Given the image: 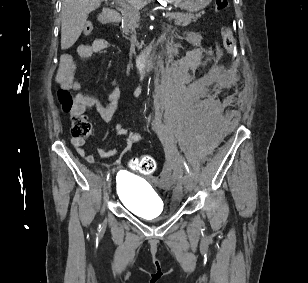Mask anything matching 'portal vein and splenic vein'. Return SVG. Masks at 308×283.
Segmentation results:
<instances>
[{
	"label": "portal vein and splenic vein",
	"instance_id": "obj_1",
	"mask_svg": "<svg viewBox=\"0 0 308 283\" xmlns=\"http://www.w3.org/2000/svg\"><path fill=\"white\" fill-rule=\"evenodd\" d=\"M128 2V3H127ZM124 11H136L138 8L136 5L129 3V0H117L116 2ZM166 17H174L176 13L166 12Z\"/></svg>",
	"mask_w": 308,
	"mask_h": 283
}]
</instances>
